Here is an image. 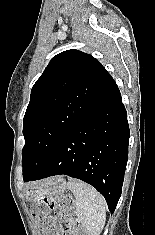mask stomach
Here are the masks:
<instances>
[{
	"instance_id": "0dacf381",
	"label": "stomach",
	"mask_w": 155,
	"mask_h": 235,
	"mask_svg": "<svg viewBox=\"0 0 155 235\" xmlns=\"http://www.w3.org/2000/svg\"><path fill=\"white\" fill-rule=\"evenodd\" d=\"M66 188L67 184L65 180L59 177H55L39 182L27 188L25 194L27 200L36 202L47 196L61 194L66 190Z\"/></svg>"
}]
</instances>
